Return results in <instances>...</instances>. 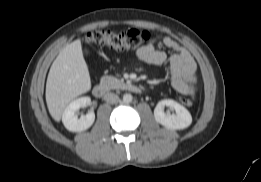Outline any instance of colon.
I'll return each instance as SVG.
<instances>
[{"label":"colon","mask_w":261,"mask_h":182,"mask_svg":"<svg viewBox=\"0 0 261 182\" xmlns=\"http://www.w3.org/2000/svg\"><path fill=\"white\" fill-rule=\"evenodd\" d=\"M153 37L147 30L128 29L124 31L91 30L83 39L89 46H106L118 50H135L145 46ZM182 101L191 105L192 100L182 98Z\"/></svg>","instance_id":"colon-1"}]
</instances>
